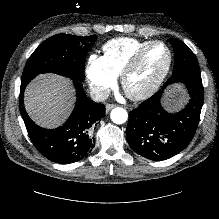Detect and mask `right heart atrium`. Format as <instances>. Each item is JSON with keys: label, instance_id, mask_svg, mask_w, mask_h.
Wrapping results in <instances>:
<instances>
[{"label": "right heart atrium", "instance_id": "right-heart-atrium-1", "mask_svg": "<svg viewBox=\"0 0 219 219\" xmlns=\"http://www.w3.org/2000/svg\"><path fill=\"white\" fill-rule=\"evenodd\" d=\"M90 89L96 95H104L112 86L116 76L109 70L102 56L92 53L85 66Z\"/></svg>", "mask_w": 219, "mask_h": 219}]
</instances>
